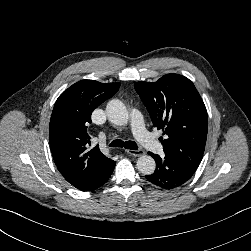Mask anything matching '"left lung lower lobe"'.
Instances as JSON below:
<instances>
[{"label": "left lung lower lobe", "instance_id": "0a47b994", "mask_svg": "<svg viewBox=\"0 0 251 251\" xmlns=\"http://www.w3.org/2000/svg\"><path fill=\"white\" fill-rule=\"evenodd\" d=\"M148 154L155 159L156 170L153 174L147 175L146 179L162 189L179 187L188 181L197 169V167L182 159L168 155L161 158L151 152H148Z\"/></svg>", "mask_w": 251, "mask_h": 251}]
</instances>
